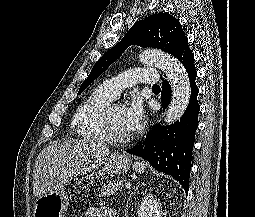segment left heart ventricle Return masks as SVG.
<instances>
[{"mask_svg": "<svg viewBox=\"0 0 255 217\" xmlns=\"http://www.w3.org/2000/svg\"><path fill=\"white\" fill-rule=\"evenodd\" d=\"M111 126L116 135L127 136L130 133L127 130L125 123V107L120 104H116L111 111Z\"/></svg>", "mask_w": 255, "mask_h": 217, "instance_id": "left-heart-ventricle-1", "label": "left heart ventricle"}]
</instances>
